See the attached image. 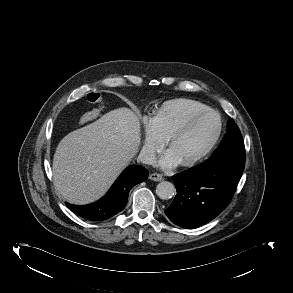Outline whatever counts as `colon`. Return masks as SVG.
Masks as SVG:
<instances>
[{"label":"colon","instance_id":"5ec220e1","mask_svg":"<svg viewBox=\"0 0 293 293\" xmlns=\"http://www.w3.org/2000/svg\"><path fill=\"white\" fill-rule=\"evenodd\" d=\"M86 99L89 103L93 104L95 107L91 110L85 112L80 117V123L84 124L96 119L105 109V98L99 92H90L87 94Z\"/></svg>","mask_w":293,"mask_h":293}]
</instances>
